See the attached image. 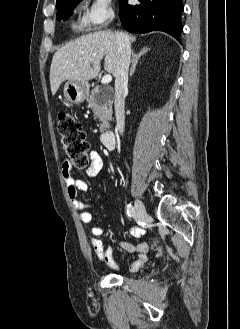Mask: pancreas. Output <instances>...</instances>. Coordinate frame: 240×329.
<instances>
[{"instance_id": "1", "label": "pancreas", "mask_w": 240, "mask_h": 329, "mask_svg": "<svg viewBox=\"0 0 240 329\" xmlns=\"http://www.w3.org/2000/svg\"><path fill=\"white\" fill-rule=\"evenodd\" d=\"M88 106L93 110L95 120L99 121L98 124L100 131L103 133L106 129L110 128L112 119V96L103 95V88L97 86L91 94L87 96Z\"/></svg>"}]
</instances>
